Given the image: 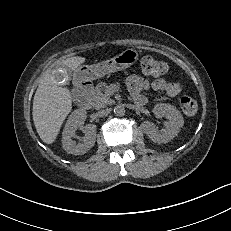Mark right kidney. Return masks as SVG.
<instances>
[{
    "instance_id": "obj_1",
    "label": "right kidney",
    "mask_w": 231,
    "mask_h": 231,
    "mask_svg": "<svg viewBox=\"0 0 231 231\" xmlns=\"http://www.w3.org/2000/svg\"><path fill=\"white\" fill-rule=\"evenodd\" d=\"M87 114L85 111L76 110L69 116L65 128L62 133L63 149L73 155H82L90 150L96 141V125L88 124L83 126ZM80 128L85 136L82 142L76 144L72 138L75 136V131Z\"/></svg>"
}]
</instances>
